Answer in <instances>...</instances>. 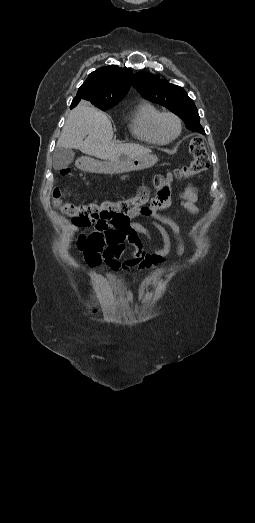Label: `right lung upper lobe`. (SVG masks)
I'll use <instances>...</instances> for the list:
<instances>
[{"label": "right lung upper lobe", "mask_w": 255, "mask_h": 523, "mask_svg": "<svg viewBox=\"0 0 255 523\" xmlns=\"http://www.w3.org/2000/svg\"><path fill=\"white\" fill-rule=\"evenodd\" d=\"M133 72L128 68L116 65L105 66L92 72L78 89L71 108L80 101L110 103L121 101L128 93L132 83Z\"/></svg>", "instance_id": "1"}]
</instances>
